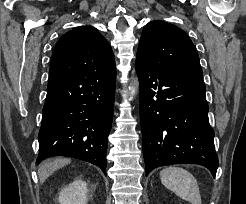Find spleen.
<instances>
[{
	"label": "spleen",
	"instance_id": "spleen-1",
	"mask_svg": "<svg viewBox=\"0 0 246 204\" xmlns=\"http://www.w3.org/2000/svg\"><path fill=\"white\" fill-rule=\"evenodd\" d=\"M162 184L191 204H202L196 178L186 169L170 166L160 171Z\"/></svg>",
	"mask_w": 246,
	"mask_h": 204
}]
</instances>
